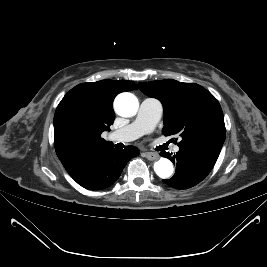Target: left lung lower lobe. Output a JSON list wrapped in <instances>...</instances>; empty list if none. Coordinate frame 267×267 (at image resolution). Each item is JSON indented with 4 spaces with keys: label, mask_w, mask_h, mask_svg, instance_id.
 <instances>
[{
    "label": "left lung lower lobe",
    "mask_w": 267,
    "mask_h": 267,
    "mask_svg": "<svg viewBox=\"0 0 267 267\" xmlns=\"http://www.w3.org/2000/svg\"><path fill=\"white\" fill-rule=\"evenodd\" d=\"M160 155L176 165L174 176L163 179L164 183L176 189H187L201 182L209 174L219 153L205 149L179 148L175 155L168 152H161Z\"/></svg>",
    "instance_id": "0a47b994"
}]
</instances>
